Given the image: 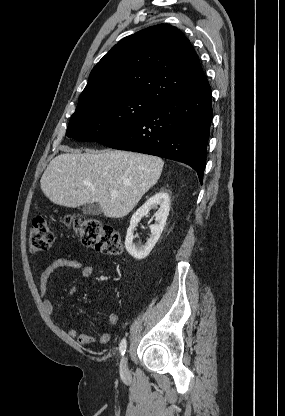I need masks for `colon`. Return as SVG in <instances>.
Masks as SVG:
<instances>
[{
	"instance_id": "obj_1",
	"label": "colon",
	"mask_w": 285,
	"mask_h": 416,
	"mask_svg": "<svg viewBox=\"0 0 285 416\" xmlns=\"http://www.w3.org/2000/svg\"><path fill=\"white\" fill-rule=\"evenodd\" d=\"M64 223L79 237L83 245L95 247L108 255L118 256L123 252L121 235L99 219L67 216ZM54 241V231L48 218L34 219L29 231L28 246L32 253L44 252L50 249Z\"/></svg>"
}]
</instances>
